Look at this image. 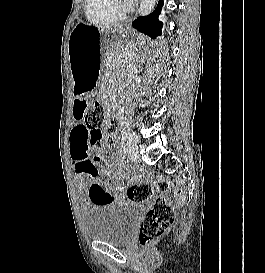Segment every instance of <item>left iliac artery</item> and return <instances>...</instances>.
<instances>
[{
    "label": "left iliac artery",
    "instance_id": "left-iliac-artery-1",
    "mask_svg": "<svg viewBox=\"0 0 265 273\" xmlns=\"http://www.w3.org/2000/svg\"><path fill=\"white\" fill-rule=\"evenodd\" d=\"M126 137L129 139V141H137V135L132 132H126Z\"/></svg>",
    "mask_w": 265,
    "mask_h": 273
}]
</instances>
